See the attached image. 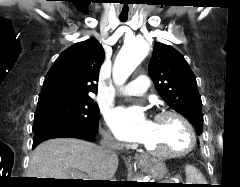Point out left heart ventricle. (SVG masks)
Instances as JSON below:
<instances>
[{
    "instance_id": "left-heart-ventricle-1",
    "label": "left heart ventricle",
    "mask_w": 240,
    "mask_h": 187,
    "mask_svg": "<svg viewBox=\"0 0 240 187\" xmlns=\"http://www.w3.org/2000/svg\"><path fill=\"white\" fill-rule=\"evenodd\" d=\"M187 137L182 125L174 117L154 121L146 146L154 151L177 150L186 145Z\"/></svg>"
}]
</instances>
